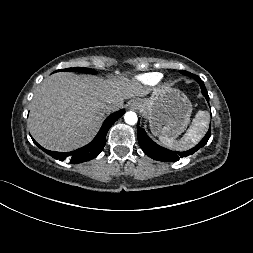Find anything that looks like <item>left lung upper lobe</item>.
<instances>
[{
  "label": "left lung upper lobe",
  "mask_w": 253,
  "mask_h": 253,
  "mask_svg": "<svg viewBox=\"0 0 253 253\" xmlns=\"http://www.w3.org/2000/svg\"><path fill=\"white\" fill-rule=\"evenodd\" d=\"M180 73H182V74H184V75L188 76V73H189V72L184 71V70H180Z\"/></svg>",
  "instance_id": "obj_1"
}]
</instances>
